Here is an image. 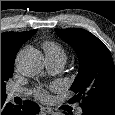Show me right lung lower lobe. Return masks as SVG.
<instances>
[{
  "label": "right lung lower lobe",
  "mask_w": 115,
  "mask_h": 115,
  "mask_svg": "<svg viewBox=\"0 0 115 115\" xmlns=\"http://www.w3.org/2000/svg\"><path fill=\"white\" fill-rule=\"evenodd\" d=\"M39 106L32 101H24L23 105L13 106L1 99V115H35L39 113Z\"/></svg>",
  "instance_id": "98d812e1"
}]
</instances>
